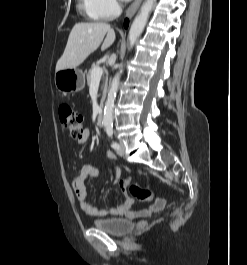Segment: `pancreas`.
I'll list each match as a JSON object with an SVG mask.
<instances>
[{"mask_svg":"<svg viewBox=\"0 0 247 265\" xmlns=\"http://www.w3.org/2000/svg\"><path fill=\"white\" fill-rule=\"evenodd\" d=\"M98 67V64H93L92 65V68L88 71L87 73V84L90 85L91 84V81H92V78H91V73L93 71L94 68ZM106 85H107V80H105L104 82V91H103V94L106 90Z\"/></svg>","mask_w":247,"mask_h":265,"instance_id":"cf45deb5","label":"pancreas"}]
</instances>
